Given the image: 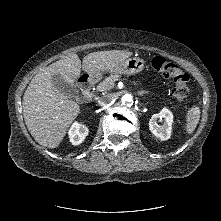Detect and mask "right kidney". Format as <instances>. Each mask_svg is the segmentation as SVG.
Segmentation results:
<instances>
[{
    "instance_id": "right-kidney-1",
    "label": "right kidney",
    "mask_w": 221,
    "mask_h": 221,
    "mask_svg": "<svg viewBox=\"0 0 221 221\" xmlns=\"http://www.w3.org/2000/svg\"><path fill=\"white\" fill-rule=\"evenodd\" d=\"M70 142L73 145H79L87 137L89 129L82 124L75 122L69 129Z\"/></svg>"
}]
</instances>
